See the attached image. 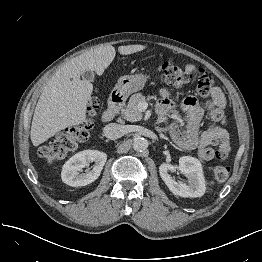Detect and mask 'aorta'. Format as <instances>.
<instances>
[{
    "instance_id": "762f6f07",
    "label": "aorta",
    "mask_w": 262,
    "mask_h": 262,
    "mask_svg": "<svg viewBox=\"0 0 262 262\" xmlns=\"http://www.w3.org/2000/svg\"><path fill=\"white\" fill-rule=\"evenodd\" d=\"M148 147V141L143 137H135L133 140V148L135 151L143 152Z\"/></svg>"
}]
</instances>
